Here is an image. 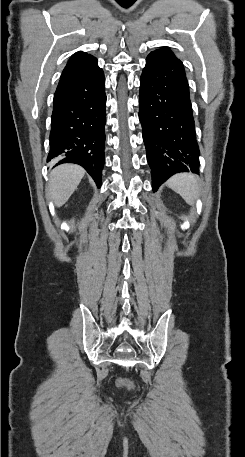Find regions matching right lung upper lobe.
Returning <instances> with one entry per match:
<instances>
[{
  "instance_id": "1",
  "label": "right lung upper lobe",
  "mask_w": 245,
  "mask_h": 457,
  "mask_svg": "<svg viewBox=\"0 0 245 457\" xmlns=\"http://www.w3.org/2000/svg\"><path fill=\"white\" fill-rule=\"evenodd\" d=\"M99 68L97 59L84 52L75 53L64 68L61 79L85 74Z\"/></svg>"
}]
</instances>
